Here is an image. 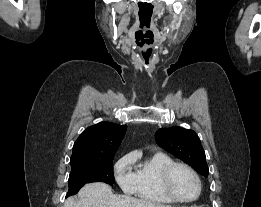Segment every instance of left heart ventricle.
<instances>
[{"label": "left heart ventricle", "instance_id": "1", "mask_svg": "<svg viewBox=\"0 0 261 207\" xmlns=\"http://www.w3.org/2000/svg\"><path fill=\"white\" fill-rule=\"evenodd\" d=\"M171 187L175 194L183 199H191L198 191L197 182L186 169L177 168L171 178Z\"/></svg>", "mask_w": 261, "mask_h": 207}]
</instances>
